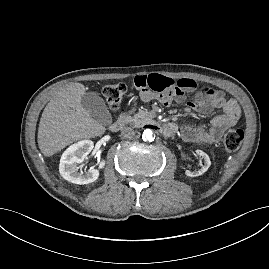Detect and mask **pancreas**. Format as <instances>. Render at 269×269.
I'll return each instance as SVG.
<instances>
[{
    "label": "pancreas",
    "instance_id": "cf45deb5",
    "mask_svg": "<svg viewBox=\"0 0 269 269\" xmlns=\"http://www.w3.org/2000/svg\"><path fill=\"white\" fill-rule=\"evenodd\" d=\"M150 120L149 113L147 110H139L134 116L127 115L124 118V122L132 127H142L147 124Z\"/></svg>",
    "mask_w": 269,
    "mask_h": 269
}]
</instances>
